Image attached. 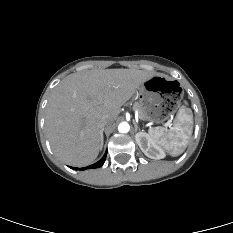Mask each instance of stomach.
I'll list each match as a JSON object with an SVG mask.
<instances>
[{
    "label": "stomach",
    "instance_id": "stomach-1",
    "mask_svg": "<svg viewBox=\"0 0 233 233\" xmlns=\"http://www.w3.org/2000/svg\"><path fill=\"white\" fill-rule=\"evenodd\" d=\"M138 95L141 119L162 124L182 101L184 90L177 79L156 74L141 84Z\"/></svg>",
    "mask_w": 233,
    "mask_h": 233
}]
</instances>
